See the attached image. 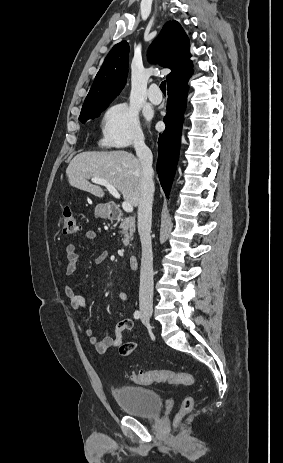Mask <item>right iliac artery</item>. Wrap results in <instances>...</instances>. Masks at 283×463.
Masks as SVG:
<instances>
[{"label": "right iliac artery", "instance_id": "82829eb1", "mask_svg": "<svg viewBox=\"0 0 283 463\" xmlns=\"http://www.w3.org/2000/svg\"><path fill=\"white\" fill-rule=\"evenodd\" d=\"M140 317H141L140 311H138V310L135 311V312H134V318H135V319H139Z\"/></svg>", "mask_w": 283, "mask_h": 463}]
</instances>
